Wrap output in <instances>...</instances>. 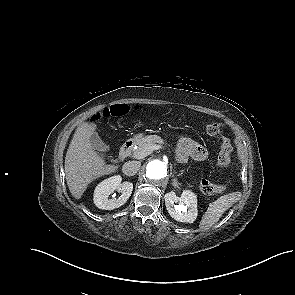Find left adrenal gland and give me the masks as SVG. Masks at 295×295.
<instances>
[{
  "label": "left adrenal gland",
  "mask_w": 295,
  "mask_h": 295,
  "mask_svg": "<svg viewBox=\"0 0 295 295\" xmlns=\"http://www.w3.org/2000/svg\"><path fill=\"white\" fill-rule=\"evenodd\" d=\"M172 185H173L174 187H179L178 184H177V180H176L175 178L173 179V183H172Z\"/></svg>",
  "instance_id": "left-adrenal-gland-1"
}]
</instances>
